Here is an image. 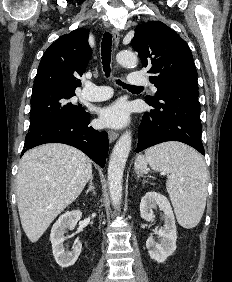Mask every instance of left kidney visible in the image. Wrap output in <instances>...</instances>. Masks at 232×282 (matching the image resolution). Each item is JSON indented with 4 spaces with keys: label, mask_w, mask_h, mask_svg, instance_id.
Listing matches in <instances>:
<instances>
[{
    "label": "left kidney",
    "mask_w": 232,
    "mask_h": 282,
    "mask_svg": "<svg viewBox=\"0 0 232 282\" xmlns=\"http://www.w3.org/2000/svg\"><path fill=\"white\" fill-rule=\"evenodd\" d=\"M159 207L164 213L165 224L159 230H155L159 242H156L151 235L146 241V247L151 259L163 263L176 250V225L175 217L168 199L155 191L145 194L140 203V215L146 221H152L153 208Z\"/></svg>",
    "instance_id": "obj_1"
}]
</instances>
